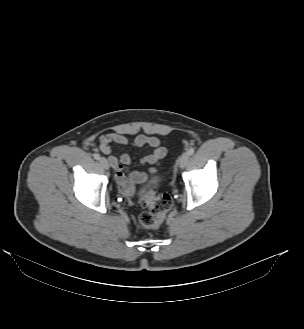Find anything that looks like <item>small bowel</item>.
Segmentation results:
<instances>
[{
    "label": "small bowel",
    "instance_id": "1",
    "mask_svg": "<svg viewBox=\"0 0 304 329\" xmlns=\"http://www.w3.org/2000/svg\"><path fill=\"white\" fill-rule=\"evenodd\" d=\"M127 146L131 145L135 148L149 147L153 151L151 154L142 157L139 165L149 164V171H130L129 167L133 161L130 155L122 154L116 157L112 154V145ZM99 150L107 156L110 166L115 171V179L118 186L122 189L125 195L131 196L135 191V184L146 182L149 175L154 173L159 162L165 157L167 150L161 145L160 140L154 136L144 134L137 135L130 140L126 135L121 133H108L100 137L98 142Z\"/></svg>",
    "mask_w": 304,
    "mask_h": 329
}]
</instances>
